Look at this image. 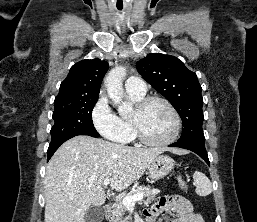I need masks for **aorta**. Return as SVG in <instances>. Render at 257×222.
Returning a JSON list of instances; mask_svg holds the SVG:
<instances>
[{
  "mask_svg": "<svg viewBox=\"0 0 257 222\" xmlns=\"http://www.w3.org/2000/svg\"><path fill=\"white\" fill-rule=\"evenodd\" d=\"M125 74L126 69L123 66H118L113 68L105 78L107 94L113 103L119 106L120 113H127L132 110V105L123 101V78Z\"/></svg>",
  "mask_w": 257,
  "mask_h": 222,
  "instance_id": "762f6f07",
  "label": "aorta"
}]
</instances>
